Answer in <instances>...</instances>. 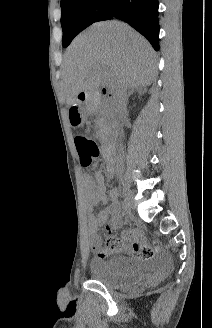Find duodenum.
I'll use <instances>...</instances> for the list:
<instances>
[{
  "mask_svg": "<svg viewBox=\"0 0 212 328\" xmlns=\"http://www.w3.org/2000/svg\"><path fill=\"white\" fill-rule=\"evenodd\" d=\"M113 94L111 90L107 86H103L98 95L85 93L83 96L79 97L78 102L80 105H88L100 98H112ZM103 156L108 161V171L113 172L114 163H113V153H114V145L112 143H107L103 147Z\"/></svg>",
  "mask_w": 212,
  "mask_h": 328,
  "instance_id": "obj_1",
  "label": "duodenum"
}]
</instances>
